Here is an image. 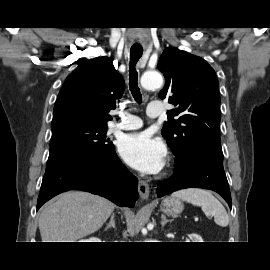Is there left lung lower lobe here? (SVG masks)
<instances>
[{
	"label": "left lung lower lobe",
	"instance_id": "1",
	"mask_svg": "<svg viewBox=\"0 0 270 270\" xmlns=\"http://www.w3.org/2000/svg\"><path fill=\"white\" fill-rule=\"evenodd\" d=\"M174 167V174L158 184L159 197L180 189L199 187L219 193L231 208L222 151L193 147L187 154L176 157Z\"/></svg>",
	"mask_w": 270,
	"mask_h": 270
}]
</instances>
